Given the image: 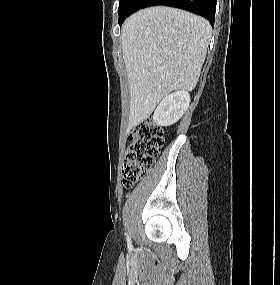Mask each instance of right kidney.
I'll use <instances>...</instances> for the list:
<instances>
[{
  "mask_svg": "<svg viewBox=\"0 0 280 285\" xmlns=\"http://www.w3.org/2000/svg\"><path fill=\"white\" fill-rule=\"evenodd\" d=\"M189 104L190 95L185 90L167 95L156 108L153 121L159 126H170L183 116Z\"/></svg>",
  "mask_w": 280,
  "mask_h": 285,
  "instance_id": "obj_1",
  "label": "right kidney"
}]
</instances>
